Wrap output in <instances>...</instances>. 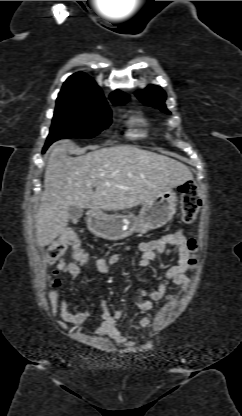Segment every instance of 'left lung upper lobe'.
<instances>
[{"instance_id": "1", "label": "left lung upper lobe", "mask_w": 242, "mask_h": 416, "mask_svg": "<svg viewBox=\"0 0 242 416\" xmlns=\"http://www.w3.org/2000/svg\"><path fill=\"white\" fill-rule=\"evenodd\" d=\"M136 95L143 103L170 114L164 104L166 94L159 86L150 85L145 90L137 93Z\"/></svg>"}]
</instances>
